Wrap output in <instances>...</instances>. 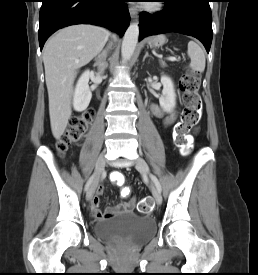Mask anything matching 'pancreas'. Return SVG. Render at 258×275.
Returning <instances> with one entry per match:
<instances>
[{
	"mask_svg": "<svg viewBox=\"0 0 258 275\" xmlns=\"http://www.w3.org/2000/svg\"><path fill=\"white\" fill-rule=\"evenodd\" d=\"M161 65H162V67H165V66H166V64H165L164 62H161Z\"/></svg>",
	"mask_w": 258,
	"mask_h": 275,
	"instance_id": "1",
	"label": "pancreas"
}]
</instances>
